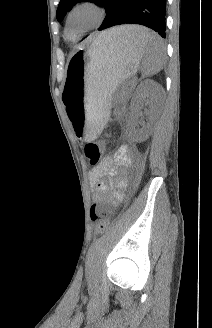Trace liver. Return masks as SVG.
I'll return each instance as SVG.
<instances>
[{
	"mask_svg": "<svg viewBox=\"0 0 212 328\" xmlns=\"http://www.w3.org/2000/svg\"><path fill=\"white\" fill-rule=\"evenodd\" d=\"M134 29V26H120L116 28H112L105 32H102L96 40H103V39H123V40H131V34Z\"/></svg>",
	"mask_w": 212,
	"mask_h": 328,
	"instance_id": "liver-1",
	"label": "liver"
}]
</instances>
